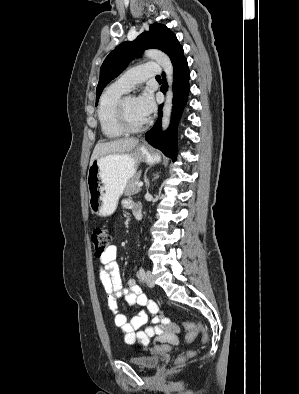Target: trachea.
<instances>
[{
    "instance_id": "trachea-1",
    "label": "trachea",
    "mask_w": 299,
    "mask_h": 394,
    "mask_svg": "<svg viewBox=\"0 0 299 394\" xmlns=\"http://www.w3.org/2000/svg\"><path fill=\"white\" fill-rule=\"evenodd\" d=\"M156 79H161V77L160 76H156Z\"/></svg>"
}]
</instances>
